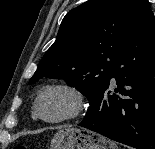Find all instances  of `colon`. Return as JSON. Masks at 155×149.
Wrapping results in <instances>:
<instances>
[{
    "label": "colon",
    "mask_w": 155,
    "mask_h": 149,
    "mask_svg": "<svg viewBox=\"0 0 155 149\" xmlns=\"http://www.w3.org/2000/svg\"><path fill=\"white\" fill-rule=\"evenodd\" d=\"M16 149H27L25 146H18Z\"/></svg>",
    "instance_id": "colon-1"
}]
</instances>
